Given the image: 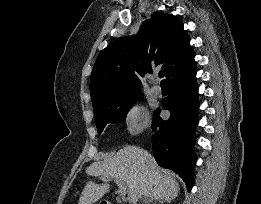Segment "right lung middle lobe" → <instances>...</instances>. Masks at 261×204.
<instances>
[{
    "label": "right lung middle lobe",
    "mask_w": 261,
    "mask_h": 204,
    "mask_svg": "<svg viewBox=\"0 0 261 204\" xmlns=\"http://www.w3.org/2000/svg\"><path fill=\"white\" fill-rule=\"evenodd\" d=\"M142 100L141 90L127 93L117 100L94 106V120L101 134L108 123H118L127 115L133 103Z\"/></svg>",
    "instance_id": "dd1d6c3e"
}]
</instances>
